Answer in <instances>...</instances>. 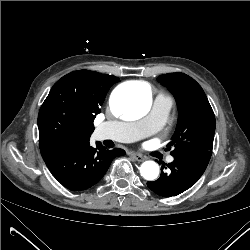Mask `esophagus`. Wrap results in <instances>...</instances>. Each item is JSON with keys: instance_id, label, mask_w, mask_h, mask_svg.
<instances>
[{"instance_id": "1", "label": "esophagus", "mask_w": 250, "mask_h": 250, "mask_svg": "<svg viewBox=\"0 0 250 250\" xmlns=\"http://www.w3.org/2000/svg\"><path fill=\"white\" fill-rule=\"evenodd\" d=\"M130 156H131L134 160H136V161H138V162L144 161V157H143L142 155H140V154H137V153H130Z\"/></svg>"}]
</instances>
